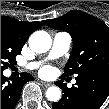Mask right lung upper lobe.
<instances>
[{
  "label": "right lung upper lobe",
  "mask_w": 109,
  "mask_h": 109,
  "mask_svg": "<svg viewBox=\"0 0 109 109\" xmlns=\"http://www.w3.org/2000/svg\"><path fill=\"white\" fill-rule=\"evenodd\" d=\"M40 28V22H22L8 16H1V35L21 45L25 44L32 32Z\"/></svg>",
  "instance_id": "1"
}]
</instances>
